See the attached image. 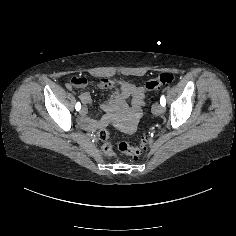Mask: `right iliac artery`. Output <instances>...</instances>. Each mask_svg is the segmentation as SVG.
Listing matches in <instances>:
<instances>
[{
	"mask_svg": "<svg viewBox=\"0 0 236 236\" xmlns=\"http://www.w3.org/2000/svg\"><path fill=\"white\" fill-rule=\"evenodd\" d=\"M75 109H76L77 111H79V110L81 109V104H80V102H77V104H76V106H75Z\"/></svg>",
	"mask_w": 236,
	"mask_h": 236,
	"instance_id": "obj_1",
	"label": "right iliac artery"
}]
</instances>
